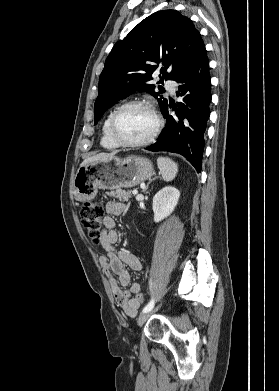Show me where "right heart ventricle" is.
<instances>
[{"label":"right heart ventricle","mask_w":279,"mask_h":391,"mask_svg":"<svg viewBox=\"0 0 279 391\" xmlns=\"http://www.w3.org/2000/svg\"><path fill=\"white\" fill-rule=\"evenodd\" d=\"M113 111H111L106 118L103 121L102 129H101V139L100 144L104 149L107 150H114L119 147L118 144H116L109 135V122Z\"/></svg>","instance_id":"e07e8e85"}]
</instances>
